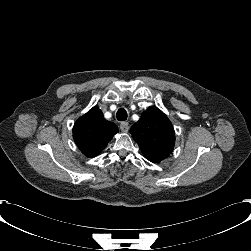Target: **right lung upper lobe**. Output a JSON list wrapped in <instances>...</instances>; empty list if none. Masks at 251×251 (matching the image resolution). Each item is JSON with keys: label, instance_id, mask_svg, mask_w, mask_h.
<instances>
[{"label": "right lung upper lobe", "instance_id": "cb5924a9", "mask_svg": "<svg viewBox=\"0 0 251 251\" xmlns=\"http://www.w3.org/2000/svg\"><path fill=\"white\" fill-rule=\"evenodd\" d=\"M117 132V126L107 121L97 106L80 117L73 127L74 141L87 157L99 154Z\"/></svg>", "mask_w": 251, "mask_h": 251}]
</instances>
